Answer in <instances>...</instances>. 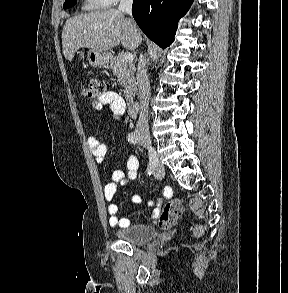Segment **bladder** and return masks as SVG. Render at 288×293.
Listing matches in <instances>:
<instances>
[{
	"label": "bladder",
	"mask_w": 288,
	"mask_h": 293,
	"mask_svg": "<svg viewBox=\"0 0 288 293\" xmlns=\"http://www.w3.org/2000/svg\"><path fill=\"white\" fill-rule=\"evenodd\" d=\"M114 234L121 241L134 245H140L155 238L157 231L153 226L139 224L118 229Z\"/></svg>",
	"instance_id": "31cf9c89"
}]
</instances>
